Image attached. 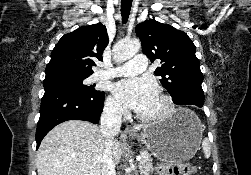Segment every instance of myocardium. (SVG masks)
<instances>
[{
	"mask_svg": "<svg viewBox=\"0 0 251 175\" xmlns=\"http://www.w3.org/2000/svg\"><path fill=\"white\" fill-rule=\"evenodd\" d=\"M161 109L160 111L147 115L148 120H166L173 116L176 111V105L174 99L168 94H161L160 97Z\"/></svg>",
	"mask_w": 251,
	"mask_h": 175,
	"instance_id": "f54148a6",
	"label": "myocardium"
}]
</instances>
